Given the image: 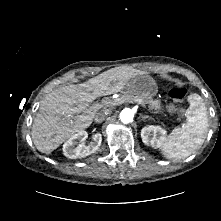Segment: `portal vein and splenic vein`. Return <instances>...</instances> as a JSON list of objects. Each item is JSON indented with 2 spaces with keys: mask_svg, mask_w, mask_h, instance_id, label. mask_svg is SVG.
<instances>
[{
  "mask_svg": "<svg viewBox=\"0 0 221 221\" xmlns=\"http://www.w3.org/2000/svg\"><path fill=\"white\" fill-rule=\"evenodd\" d=\"M132 102L140 104L141 106L145 107V104L140 99H133Z\"/></svg>",
  "mask_w": 221,
  "mask_h": 221,
  "instance_id": "obj_1",
  "label": "portal vein and splenic vein"
}]
</instances>
